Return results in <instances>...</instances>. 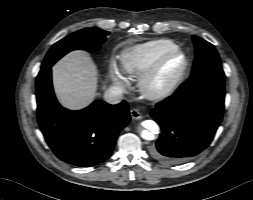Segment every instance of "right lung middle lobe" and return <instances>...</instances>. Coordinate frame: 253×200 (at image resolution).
<instances>
[{
    "label": "right lung middle lobe",
    "instance_id": "1",
    "mask_svg": "<svg viewBox=\"0 0 253 200\" xmlns=\"http://www.w3.org/2000/svg\"><path fill=\"white\" fill-rule=\"evenodd\" d=\"M106 35V31L96 28L79 30L55 43L48 51L41 67L53 65L62 56L72 50H98L100 45L106 40Z\"/></svg>",
    "mask_w": 253,
    "mask_h": 200
}]
</instances>
